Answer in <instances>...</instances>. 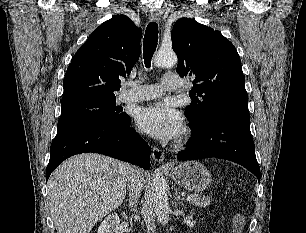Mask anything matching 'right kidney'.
Segmentation results:
<instances>
[{"mask_svg":"<svg viewBox=\"0 0 306 233\" xmlns=\"http://www.w3.org/2000/svg\"><path fill=\"white\" fill-rule=\"evenodd\" d=\"M122 217L127 219L126 214L121 213ZM120 219L117 214L108 215L100 224L97 233H118Z\"/></svg>","mask_w":306,"mask_h":233,"instance_id":"1","label":"right kidney"}]
</instances>
